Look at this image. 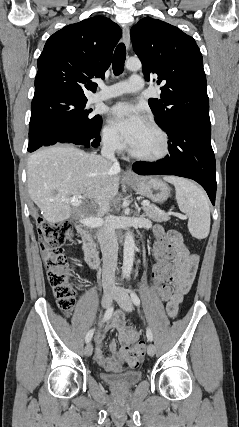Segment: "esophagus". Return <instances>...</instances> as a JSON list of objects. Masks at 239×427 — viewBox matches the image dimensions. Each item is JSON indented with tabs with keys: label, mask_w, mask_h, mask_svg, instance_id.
Returning <instances> with one entry per match:
<instances>
[{
	"label": "esophagus",
	"mask_w": 239,
	"mask_h": 427,
	"mask_svg": "<svg viewBox=\"0 0 239 427\" xmlns=\"http://www.w3.org/2000/svg\"><path fill=\"white\" fill-rule=\"evenodd\" d=\"M123 40H124L126 48L129 49V47H130V30H129L128 26H125L123 28ZM123 176L125 179H128V180L135 179V176L128 169L124 172Z\"/></svg>",
	"instance_id": "1"
}]
</instances>
